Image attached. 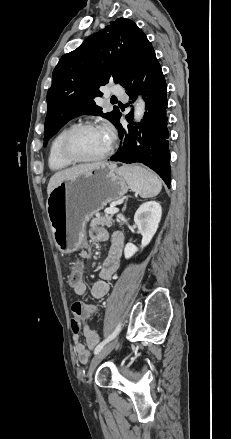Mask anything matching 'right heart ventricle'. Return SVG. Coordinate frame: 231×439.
I'll list each match as a JSON object with an SVG mask.
<instances>
[{"label": "right heart ventricle", "mask_w": 231, "mask_h": 439, "mask_svg": "<svg viewBox=\"0 0 231 439\" xmlns=\"http://www.w3.org/2000/svg\"><path fill=\"white\" fill-rule=\"evenodd\" d=\"M69 127L60 130L52 139L48 150V166L52 171L64 170L72 165L60 153V142Z\"/></svg>", "instance_id": "right-heart-ventricle-1"}]
</instances>
